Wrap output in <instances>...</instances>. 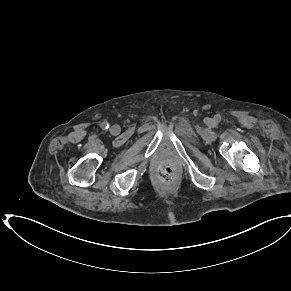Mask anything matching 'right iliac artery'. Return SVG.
I'll use <instances>...</instances> for the list:
<instances>
[{
    "label": "right iliac artery",
    "mask_w": 291,
    "mask_h": 291,
    "mask_svg": "<svg viewBox=\"0 0 291 291\" xmlns=\"http://www.w3.org/2000/svg\"><path fill=\"white\" fill-rule=\"evenodd\" d=\"M101 128H102V129H108V128H109V124H108V122H106V121L102 122V123H101Z\"/></svg>",
    "instance_id": "82829eb1"
}]
</instances>
